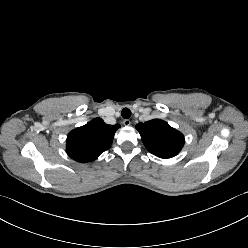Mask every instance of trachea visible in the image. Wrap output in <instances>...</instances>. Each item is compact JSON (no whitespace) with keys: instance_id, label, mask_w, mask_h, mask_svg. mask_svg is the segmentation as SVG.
I'll return each instance as SVG.
<instances>
[{"instance_id":"3493384b","label":"trachea","mask_w":248,"mask_h":248,"mask_svg":"<svg viewBox=\"0 0 248 248\" xmlns=\"http://www.w3.org/2000/svg\"><path fill=\"white\" fill-rule=\"evenodd\" d=\"M121 115L124 119H128L130 118L131 116V111L129 108H124L122 111H121Z\"/></svg>"}]
</instances>
